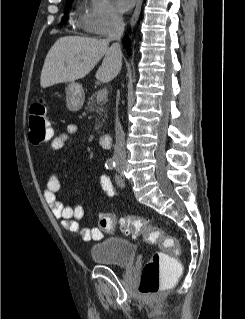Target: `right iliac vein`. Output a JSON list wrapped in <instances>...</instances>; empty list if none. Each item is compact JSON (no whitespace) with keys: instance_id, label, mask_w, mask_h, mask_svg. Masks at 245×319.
<instances>
[{"instance_id":"obj_1","label":"right iliac vein","mask_w":245,"mask_h":319,"mask_svg":"<svg viewBox=\"0 0 245 319\" xmlns=\"http://www.w3.org/2000/svg\"><path fill=\"white\" fill-rule=\"evenodd\" d=\"M118 169H119V170H123V169H124V165H123V164H119V165H118Z\"/></svg>"}]
</instances>
